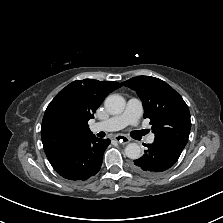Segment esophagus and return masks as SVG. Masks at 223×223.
<instances>
[{
	"mask_svg": "<svg viewBox=\"0 0 223 223\" xmlns=\"http://www.w3.org/2000/svg\"><path fill=\"white\" fill-rule=\"evenodd\" d=\"M114 140H116L117 142L121 143V144H128L130 142V139L122 134H118L114 136Z\"/></svg>",
	"mask_w": 223,
	"mask_h": 223,
	"instance_id": "obj_1",
	"label": "esophagus"
}]
</instances>
